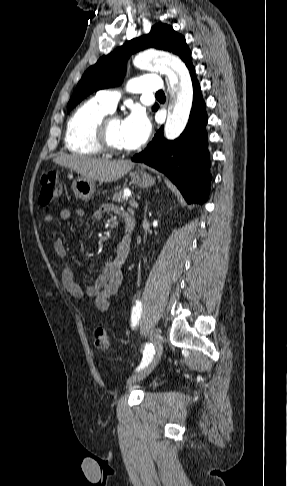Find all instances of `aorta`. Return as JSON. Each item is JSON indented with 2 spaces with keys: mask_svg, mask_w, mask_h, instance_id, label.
<instances>
[{
  "mask_svg": "<svg viewBox=\"0 0 287 486\" xmlns=\"http://www.w3.org/2000/svg\"><path fill=\"white\" fill-rule=\"evenodd\" d=\"M136 67L151 66L163 71L170 83L172 102L165 125V137L174 140L184 131L192 104V83L189 72L184 63L175 56L152 55L137 57Z\"/></svg>",
  "mask_w": 287,
  "mask_h": 486,
  "instance_id": "obj_1",
  "label": "aorta"
}]
</instances>
